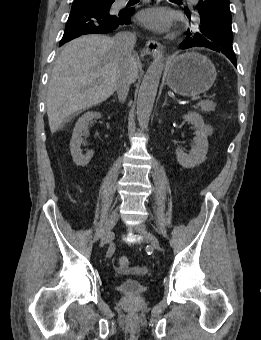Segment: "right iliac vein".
<instances>
[{"mask_svg": "<svg viewBox=\"0 0 261 340\" xmlns=\"http://www.w3.org/2000/svg\"><path fill=\"white\" fill-rule=\"evenodd\" d=\"M117 221H118V213L116 211H113L107 220L103 235L99 242V248H103L106 244L112 241L113 239L112 230L114 226L116 225Z\"/></svg>", "mask_w": 261, "mask_h": 340, "instance_id": "right-iliac-vein-1", "label": "right iliac vein"}]
</instances>
